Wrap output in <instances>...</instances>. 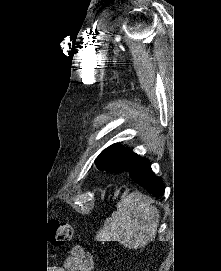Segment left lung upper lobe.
Segmentation results:
<instances>
[{
    "label": "left lung upper lobe",
    "mask_w": 221,
    "mask_h": 271,
    "mask_svg": "<svg viewBox=\"0 0 221 271\" xmlns=\"http://www.w3.org/2000/svg\"><path fill=\"white\" fill-rule=\"evenodd\" d=\"M134 155L129 148L116 143L103 150L95 159V164L101 171L121 173L128 170Z\"/></svg>",
    "instance_id": "5c2ea615"
}]
</instances>
